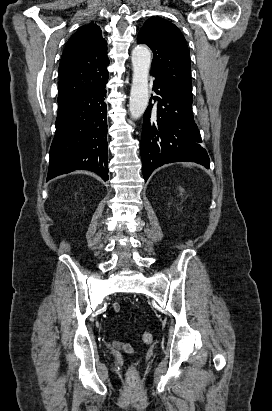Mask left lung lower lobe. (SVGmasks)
<instances>
[{
  "instance_id": "1",
  "label": "left lung lower lobe",
  "mask_w": 272,
  "mask_h": 411,
  "mask_svg": "<svg viewBox=\"0 0 272 411\" xmlns=\"http://www.w3.org/2000/svg\"><path fill=\"white\" fill-rule=\"evenodd\" d=\"M153 89L160 97L154 108L150 103L144 113L141 137L142 171L145 181L159 166L192 161L210 166L201 136L193 119L192 98L155 79Z\"/></svg>"
}]
</instances>
